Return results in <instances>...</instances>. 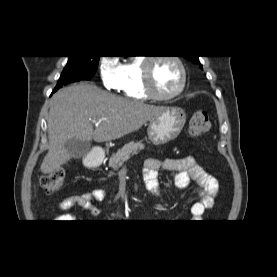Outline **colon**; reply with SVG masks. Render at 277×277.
Returning a JSON list of instances; mask_svg holds the SVG:
<instances>
[{
    "instance_id": "obj_1",
    "label": "colon",
    "mask_w": 277,
    "mask_h": 277,
    "mask_svg": "<svg viewBox=\"0 0 277 277\" xmlns=\"http://www.w3.org/2000/svg\"><path fill=\"white\" fill-rule=\"evenodd\" d=\"M211 123L206 112H195L189 120V133L192 137H201L209 132ZM65 172L62 168H56L51 173L40 178V186L47 192L59 190L64 183Z\"/></svg>"
}]
</instances>
